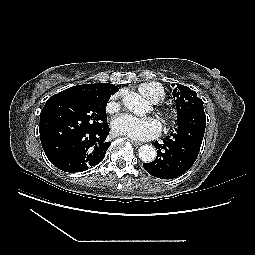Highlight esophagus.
Listing matches in <instances>:
<instances>
[{
    "label": "esophagus",
    "instance_id": "34e87169",
    "mask_svg": "<svg viewBox=\"0 0 255 255\" xmlns=\"http://www.w3.org/2000/svg\"><path fill=\"white\" fill-rule=\"evenodd\" d=\"M132 144L134 146H141L142 145V142H139V141H134V140H131Z\"/></svg>",
    "mask_w": 255,
    "mask_h": 255
}]
</instances>
